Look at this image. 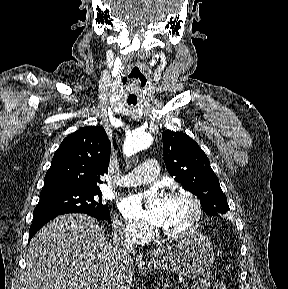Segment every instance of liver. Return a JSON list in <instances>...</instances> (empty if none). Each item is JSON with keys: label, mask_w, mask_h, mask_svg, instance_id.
Listing matches in <instances>:
<instances>
[{"label": "liver", "mask_w": 288, "mask_h": 289, "mask_svg": "<svg viewBox=\"0 0 288 289\" xmlns=\"http://www.w3.org/2000/svg\"><path fill=\"white\" fill-rule=\"evenodd\" d=\"M170 247L151 251L161 256ZM29 289H130L132 259H117L100 223L84 214H65L50 221L32 238L26 257Z\"/></svg>", "instance_id": "1"}]
</instances>
